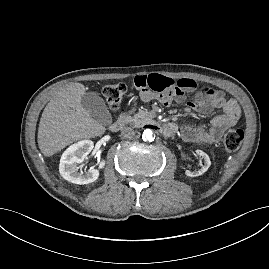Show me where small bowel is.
Returning <instances> with one entry per match:
<instances>
[{
	"label": "small bowel",
	"instance_id": "obj_1",
	"mask_svg": "<svg viewBox=\"0 0 269 269\" xmlns=\"http://www.w3.org/2000/svg\"><path fill=\"white\" fill-rule=\"evenodd\" d=\"M134 88L140 91V96L144 101H150L156 97L158 101L171 105L175 100L185 103L186 94L196 91L199 84L190 78L176 80L156 74L137 76L134 79ZM186 105L191 110L204 115L211 113L214 109L222 110L221 114L211 120L210 127L186 125L181 128L182 139L190 143H217L223 132L234 126L240 117V108L236 101L226 98L221 91L205 85L196 93L194 100L187 101Z\"/></svg>",
	"mask_w": 269,
	"mask_h": 269
}]
</instances>
